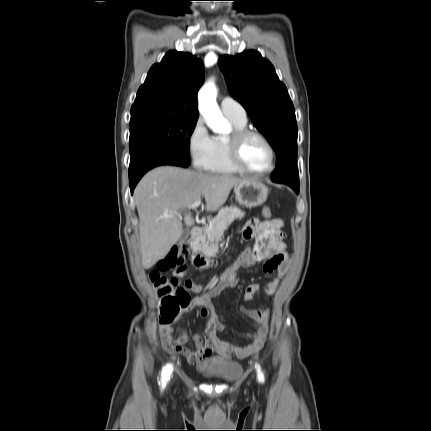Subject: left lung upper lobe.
<instances>
[{
	"mask_svg": "<svg viewBox=\"0 0 431 431\" xmlns=\"http://www.w3.org/2000/svg\"><path fill=\"white\" fill-rule=\"evenodd\" d=\"M230 95L246 109L277 155L274 182L298 183L297 123L285 85L259 52L244 51L219 60Z\"/></svg>",
	"mask_w": 431,
	"mask_h": 431,
	"instance_id": "left-lung-upper-lobe-1",
	"label": "left lung upper lobe"
}]
</instances>
